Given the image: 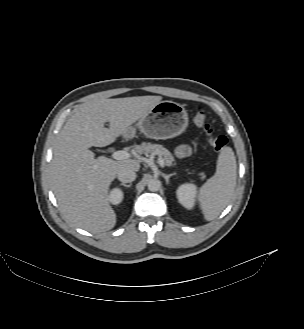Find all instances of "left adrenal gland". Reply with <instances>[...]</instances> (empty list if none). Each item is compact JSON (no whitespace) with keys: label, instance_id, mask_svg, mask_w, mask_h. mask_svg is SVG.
<instances>
[{"label":"left adrenal gland","instance_id":"obj_1","mask_svg":"<svg viewBox=\"0 0 304 329\" xmlns=\"http://www.w3.org/2000/svg\"><path fill=\"white\" fill-rule=\"evenodd\" d=\"M176 173H171V174H162V176L164 177L165 181H166V184H169V179L174 176Z\"/></svg>","mask_w":304,"mask_h":329}]
</instances>
